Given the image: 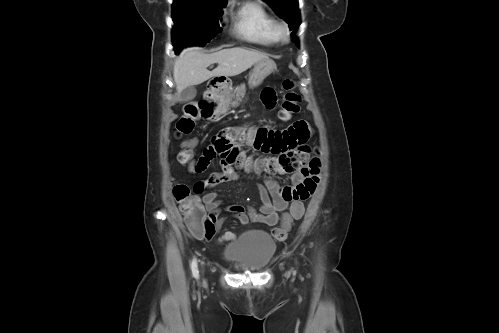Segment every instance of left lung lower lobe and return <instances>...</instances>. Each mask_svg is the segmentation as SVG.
<instances>
[{
	"label": "left lung lower lobe",
	"instance_id": "0a47b994",
	"mask_svg": "<svg viewBox=\"0 0 499 333\" xmlns=\"http://www.w3.org/2000/svg\"><path fill=\"white\" fill-rule=\"evenodd\" d=\"M293 41L296 43V45L298 46V40L296 38H293Z\"/></svg>",
	"mask_w": 499,
	"mask_h": 333
}]
</instances>
